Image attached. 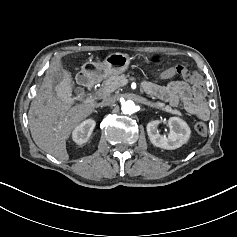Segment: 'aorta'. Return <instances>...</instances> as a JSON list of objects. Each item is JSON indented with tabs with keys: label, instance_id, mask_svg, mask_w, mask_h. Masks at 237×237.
<instances>
[{
	"label": "aorta",
	"instance_id": "762f6f07",
	"mask_svg": "<svg viewBox=\"0 0 237 237\" xmlns=\"http://www.w3.org/2000/svg\"><path fill=\"white\" fill-rule=\"evenodd\" d=\"M122 112L124 114H132L135 112V104L131 100H127L122 104Z\"/></svg>",
	"mask_w": 237,
	"mask_h": 237
}]
</instances>
